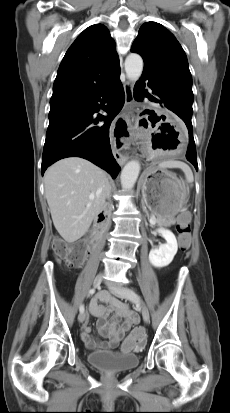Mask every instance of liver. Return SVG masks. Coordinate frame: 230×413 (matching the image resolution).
<instances>
[{
	"mask_svg": "<svg viewBox=\"0 0 230 413\" xmlns=\"http://www.w3.org/2000/svg\"><path fill=\"white\" fill-rule=\"evenodd\" d=\"M44 187L56 230L73 243L105 207L109 180L105 171L88 160L69 157L47 169Z\"/></svg>",
	"mask_w": 230,
	"mask_h": 413,
	"instance_id": "liver-1",
	"label": "liver"
}]
</instances>
